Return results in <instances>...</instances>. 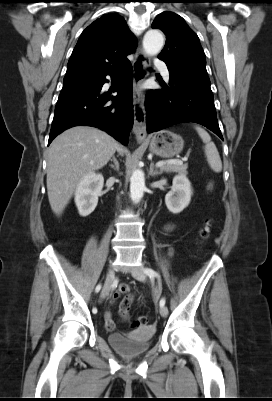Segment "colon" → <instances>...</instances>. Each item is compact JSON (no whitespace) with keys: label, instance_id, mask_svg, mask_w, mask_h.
<instances>
[{"label":"colon","instance_id":"5ec220e1","mask_svg":"<svg viewBox=\"0 0 272 401\" xmlns=\"http://www.w3.org/2000/svg\"><path fill=\"white\" fill-rule=\"evenodd\" d=\"M210 233V225L209 223H207L204 228L201 230V238L202 239H207ZM150 320L148 317L146 316H140L138 318H136L135 320L132 321L131 326L133 328H139L142 326H147L149 325Z\"/></svg>","mask_w":272,"mask_h":401}]
</instances>
